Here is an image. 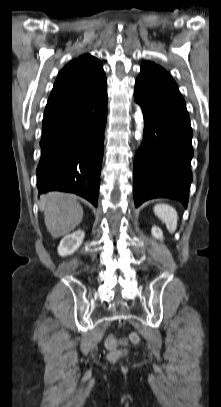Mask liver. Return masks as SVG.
I'll use <instances>...</instances> for the list:
<instances>
[{
  "label": "liver",
  "instance_id": "obj_1",
  "mask_svg": "<svg viewBox=\"0 0 221 407\" xmlns=\"http://www.w3.org/2000/svg\"><path fill=\"white\" fill-rule=\"evenodd\" d=\"M40 208L44 221L53 238H59L74 230L83 219V208L75 196L51 192L42 196Z\"/></svg>",
  "mask_w": 221,
  "mask_h": 407
}]
</instances>
